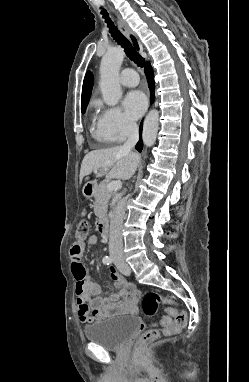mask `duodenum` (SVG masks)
I'll return each mask as SVG.
<instances>
[{
    "instance_id": "410a0bca",
    "label": "duodenum",
    "mask_w": 249,
    "mask_h": 382,
    "mask_svg": "<svg viewBox=\"0 0 249 382\" xmlns=\"http://www.w3.org/2000/svg\"><path fill=\"white\" fill-rule=\"evenodd\" d=\"M97 227H98V231L103 237H109L110 232H109L108 222L106 221V219L104 218L99 219L97 223Z\"/></svg>"
}]
</instances>
